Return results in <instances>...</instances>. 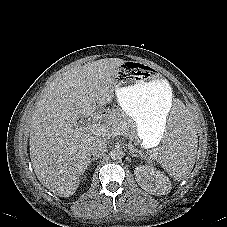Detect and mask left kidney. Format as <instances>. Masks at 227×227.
I'll list each match as a JSON object with an SVG mask.
<instances>
[{
    "mask_svg": "<svg viewBox=\"0 0 227 227\" xmlns=\"http://www.w3.org/2000/svg\"><path fill=\"white\" fill-rule=\"evenodd\" d=\"M134 175L138 185L153 195H165L171 190L169 178L161 172L150 174L145 172L141 166L135 168Z\"/></svg>",
    "mask_w": 227,
    "mask_h": 227,
    "instance_id": "obj_1",
    "label": "left kidney"
}]
</instances>
